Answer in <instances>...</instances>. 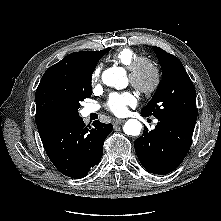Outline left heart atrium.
I'll list each match as a JSON object with an SVG mask.
<instances>
[{"label":"left heart atrium","instance_id":"39dd6f15","mask_svg":"<svg viewBox=\"0 0 221 221\" xmlns=\"http://www.w3.org/2000/svg\"><path fill=\"white\" fill-rule=\"evenodd\" d=\"M136 104V99L130 92L113 93L110 95L107 107L117 116H124L128 112V108Z\"/></svg>","mask_w":221,"mask_h":221}]
</instances>
